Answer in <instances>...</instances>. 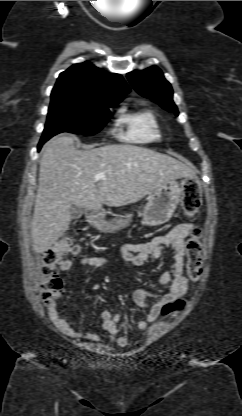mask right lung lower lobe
Listing matches in <instances>:
<instances>
[{
	"mask_svg": "<svg viewBox=\"0 0 242 416\" xmlns=\"http://www.w3.org/2000/svg\"><path fill=\"white\" fill-rule=\"evenodd\" d=\"M43 143H45V142L40 141V143H39V145H38V150H40V148H41V146L43 145Z\"/></svg>",
	"mask_w": 242,
	"mask_h": 416,
	"instance_id": "obj_1",
	"label": "right lung lower lobe"
}]
</instances>
